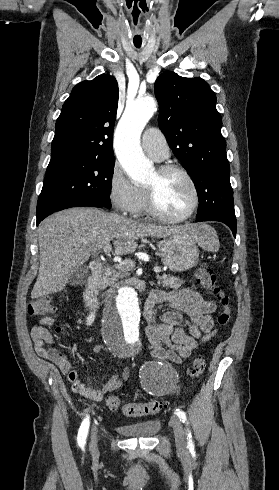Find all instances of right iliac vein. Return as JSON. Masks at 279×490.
I'll use <instances>...</instances> for the list:
<instances>
[{
  "mask_svg": "<svg viewBox=\"0 0 279 490\" xmlns=\"http://www.w3.org/2000/svg\"><path fill=\"white\" fill-rule=\"evenodd\" d=\"M90 451L92 453H96L97 451V434H96V427L93 428L90 436Z\"/></svg>",
  "mask_w": 279,
  "mask_h": 490,
  "instance_id": "63e3f726",
  "label": "right iliac vein"
}]
</instances>
